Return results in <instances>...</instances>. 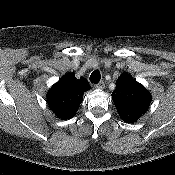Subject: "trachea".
<instances>
[{
    "label": "trachea",
    "instance_id": "1",
    "mask_svg": "<svg viewBox=\"0 0 175 175\" xmlns=\"http://www.w3.org/2000/svg\"><path fill=\"white\" fill-rule=\"evenodd\" d=\"M90 81L91 83H98L101 79V74L99 72V70H94L91 75H90Z\"/></svg>",
    "mask_w": 175,
    "mask_h": 175
}]
</instances>
